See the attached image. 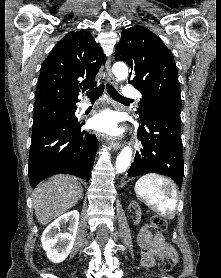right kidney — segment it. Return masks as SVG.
I'll return each instance as SVG.
<instances>
[{
  "mask_svg": "<svg viewBox=\"0 0 221 278\" xmlns=\"http://www.w3.org/2000/svg\"><path fill=\"white\" fill-rule=\"evenodd\" d=\"M68 222L69 232L58 233L57 230ZM78 223L79 212L73 210L58 217L45 229L41 237V243L50 261L60 263L70 254L75 242Z\"/></svg>",
  "mask_w": 221,
  "mask_h": 278,
  "instance_id": "right-kidney-1",
  "label": "right kidney"
}]
</instances>
